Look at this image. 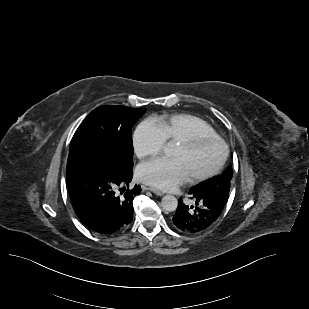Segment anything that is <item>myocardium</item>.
<instances>
[{"instance_id": "1", "label": "myocardium", "mask_w": 309, "mask_h": 309, "mask_svg": "<svg viewBox=\"0 0 309 309\" xmlns=\"http://www.w3.org/2000/svg\"><path fill=\"white\" fill-rule=\"evenodd\" d=\"M208 142H214L217 143L220 146L221 153L219 160L217 164L208 172L194 175L190 177V181L192 182H203L206 181L214 176H216L224 167L225 162L228 157L229 148L225 140L218 135H211V134H193L191 136H188L186 138L180 139L177 141L178 144H181L189 149H194L202 144L208 143Z\"/></svg>"}]
</instances>
